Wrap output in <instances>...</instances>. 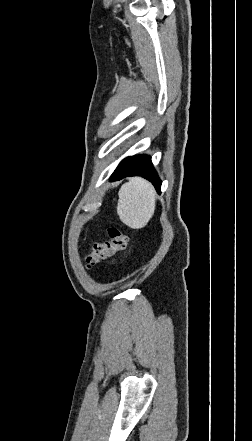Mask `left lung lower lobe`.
I'll return each mask as SVG.
<instances>
[{"label": "left lung lower lobe", "mask_w": 252, "mask_h": 441, "mask_svg": "<svg viewBox=\"0 0 252 441\" xmlns=\"http://www.w3.org/2000/svg\"><path fill=\"white\" fill-rule=\"evenodd\" d=\"M129 176H141L153 183L158 193L161 181L153 168L151 158L147 155H138L125 158L112 174V180H121Z\"/></svg>", "instance_id": "left-lung-lower-lobe-1"}]
</instances>
